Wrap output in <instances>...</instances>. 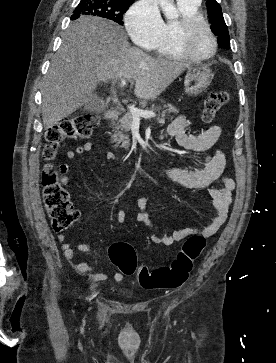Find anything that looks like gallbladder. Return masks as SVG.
Instances as JSON below:
<instances>
[{
  "label": "gallbladder",
  "instance_id": "bac80fb5",
  "mask_svg": "<svg viewBox=\"0 0 276 363\" xmlns=\"http://www.w3.org/2000/svg\"><path fill=\"white\" fill-rule=\"evenodd\" d=\"M105 102L96 94H92L84 104L82 110L86 112H100L104 110Z\"/></svg>",
  "mask_w": 276,
  "mask_h": 363
}]
</instances>
